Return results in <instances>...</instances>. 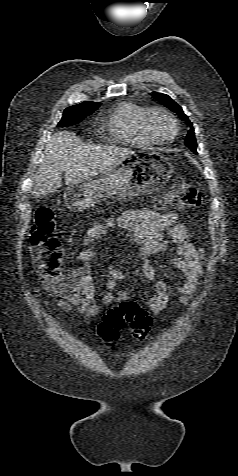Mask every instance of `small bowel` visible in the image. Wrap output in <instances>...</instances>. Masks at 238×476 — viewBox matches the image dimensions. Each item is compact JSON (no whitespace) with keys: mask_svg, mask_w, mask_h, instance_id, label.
I'll return each instance as SVG.
<instances>
[{"mask_svg":"<svg viewBox=\"0 0 238 476\" xmlns=\"http://www.w3.org/2000/svg\"><path fill=\"white\" fill-rule=\"evenodd\" d=\"M175 213H158L151 209H132L124 213L105 219L94 221L86 231L83 240V249L78 254L82 262L73 273L79 281L73 288L65 290H50L58 296V306L66 311H76L81 314L86 323L97 316L102 305L94 296V285L90 272V265L98 260L95 251L87 247L96 239L102 237L109 230L124 229L134 245L139 249L140 267L143 276L155 282V293L142 303L154 314L162 312L168 304L172 294H180L179 302L186 303L192 298L198 287V281L203 273V250L195 246L189 239L185 225L176 223ZM175 244V255L171 264L184 276L182 280L171 282L159 280L157 272L150 261L152 255H161L168 251V242ZM127 278L123 271L105 265L103 282V304L130 302L131 295L126 291L114 292L119 283Z\"/></svg>","mask_w":238,"mask_h":476,"instance_id":"1","label":"small bowel"}]
</instances>
